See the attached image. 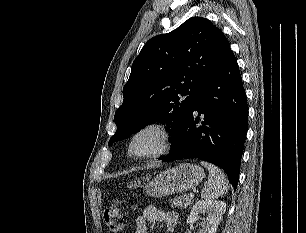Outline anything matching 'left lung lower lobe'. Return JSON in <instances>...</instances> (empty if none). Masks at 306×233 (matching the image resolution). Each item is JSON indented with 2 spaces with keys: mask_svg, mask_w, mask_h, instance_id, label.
Segmentation results:
<instances>
[{
  "mask_svg": "<svg viewBox=\"0 0 306 233\" xmlns=\"http://www.w3.org/2000/svg\"><path fill=\"white\" fill-rule=\"evenodd\" d=\"M196 111L204 116L202 126H197ZM247 125L246 93L236 58L230 51L172 140L170 153L159 159L199 158L211 162L226 172L236 189Z\"/></svg>",
  "mask_w": 306,
  "mask_h": 233,
  "instance_id": "1",
  "label": "left lung lower lobe"
}]
</instances>
